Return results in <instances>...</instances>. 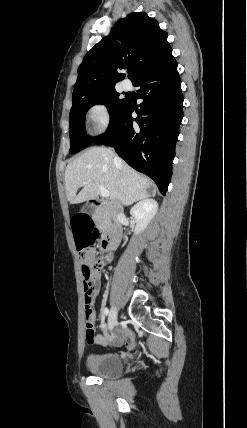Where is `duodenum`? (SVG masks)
<instances>
[{
  "label": "duodenum",
  "mask_w": 247,
  "mask_h": 428,
  "mask_svg": "<svg viewBox=\"0 0 247 428\" xmlns=\"http://www.w3.org/2000/svg\"><path fill=\"white\" fill-rule=\"evenodd\" d=\"M92 203L95 206H99L104 208L111 217V222L109 224L106 236L102 242L101 248L104 250H113L118 247L121 236H122V228L120 223L118 222L115 214L112 211L111 205L104 200L94 199Z\"/></svg>",
  "instance_id": "duodenum-1"
}]
</instances>
